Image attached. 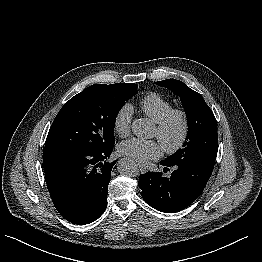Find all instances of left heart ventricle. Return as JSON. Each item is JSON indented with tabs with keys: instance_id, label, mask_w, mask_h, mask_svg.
I'll list each match as a JSON object with an SVG mask.
<instances>
[{
	"instance_id": "1",
	"label": "left heart ventricle",
	"mask_w": 262,
	"mask_h": 262,
	"mask_svg": "<svg viewBox=\"0 0 262 262\" xmlns=\"http://www.w3.org/2000/svg\"><path fill=\"white\" fill-rule=\"evenodd\" d=\"M180 130H181V125H180L179 121H175L172 124V126L170 127L166 138L159 140V141L161 142V144H163V142H167L169 144L174 143L177 140V138L180 134ZM154 136L157 137V138L159 137V133H158L157 128H155Z\"/></svg>"
}]
</instances>
